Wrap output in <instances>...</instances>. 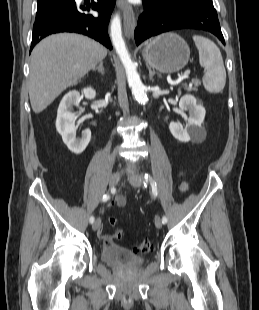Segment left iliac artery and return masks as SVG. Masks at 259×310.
<instances>
[{
    "label": "left iliac artery",
    "mask_w": 259,
    "mask_h": 310,
    "mask_svg": "<svg viewBox=\"0 0 259 310\" xmlns=\"http://www.w3.org/2000/svg\"><path fill=\"white\" fill-rule=\"evenodd\" d=\"M147 183H150V185L152 187V194H153V196L156 197L158 195L156 182H154L153 179L148 174H145L144 185L146 186ZM162 223H164V224L167 223V217L166 216L162 217Z\"/></svg>",
    "instance_id": "obj_1"
}]
</instances>
